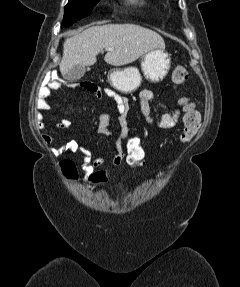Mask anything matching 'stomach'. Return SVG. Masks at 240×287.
I'll return each mask as SVG.
<instances>
[{"instance_id": "obj_1", "label": "stomach", "mask_w": 240, "mask_h": 287, "mask_svg": "<svg viewBox=\"0 0 240 287\" xmlns=\"http://www.w3.org/2000/svg\"><path fill=\"white\" fill-rule=\"evenodd\" d=\"M171 67V59L164 48L148 51L141 61V70L146 80L152 83L161 82ZM110 84L122 93H131L141 84L142 77L136 67L114 68L108 74Z\"/></svg>"}]
</instances>
